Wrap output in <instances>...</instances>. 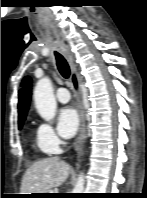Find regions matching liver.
I'll return each instance as SVG.
<instances>
[{
    "label": "liver",
    "instance_id": "1",
    "mask_svg": "<svg viewBox=\"0 0 147 198\" xmlns=\"http://www.w3.org/2000/svg\"><path fill=\"white\" fill-rule=\"evenodd\" d=\"M71 173V166L58 157L35 162L23 175L21 194L47 193L62 185Z\"/></svg>",
    "mask_w": 147,
    "mask_h": 198
}]
</instances>
